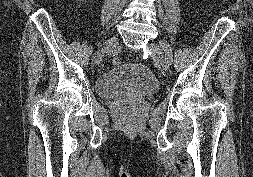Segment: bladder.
Listing matches in <instances>:
<instances>
[{
	"label": "bladder",
	"instance_id": "1",
	"mask_svg": "<svg viewBox=\"0 0 253 177\" xmlns=\"http://www.w3.org/2000/svg\"><path fill=\"white\" fill-rule=\"evenodd\" d=\"M158 89L159 83L151 70L137 63L116 65L102 73L96 81V92L102 97H145Z\"/></svg>",
	"mask_w": 253,
	"mask_h": 177
}]
</instances>
